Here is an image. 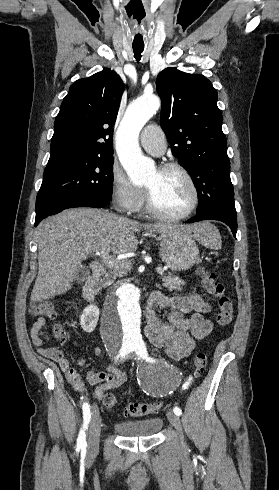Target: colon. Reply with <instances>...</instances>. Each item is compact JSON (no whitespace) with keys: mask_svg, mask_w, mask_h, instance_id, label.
<instances>
[{"mask_svg":"<svg viewBox=\"0 0 279 490\" xmlns=\"http://www.w3.org/2000/svg\"><path fill=\"white\" fill-rule=\"evenodd\" d=\"M200 281L207 294L213 297L217 302V324L220 326L230 325L233 316V303L230 296L225 292L223 285L208 270L201 271ZM28 311L31 316L44 318L50 323L54 322L58 316L53 304L48 301L34 302L29 307ZM48 333L55 338L71 337L70 329H54L53 326L48 330ZM193 365L195 373L200 375L207 365V356L205 354H198L193 361ZM116 403L117 399L112 392L104 394L103 405L106 409L114 408ZM160 408V403L154 400L133 402L126 406L125 415L129 417L154 415Z\"/></svg>","mask_w":279,"mask_h":490,"instance_id":"5ec220e1","label":"colon"}]
</instances>
